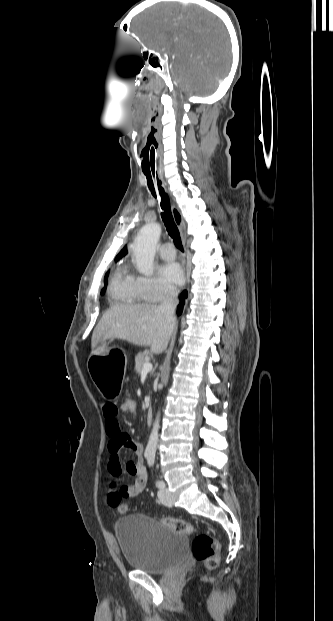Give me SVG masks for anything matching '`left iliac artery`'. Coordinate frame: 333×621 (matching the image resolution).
Masks as SVG:
<instances>
[{"mask_svg": "<svg viewBox=\"0 0 333 621\" xmlns=\"http://www.w3.org/2000/svg\"><path fill=\"white\" fill-rule=\"evenodd\" d=\"M147 463L149 467H152L155 463V456L154 455H148L147 456ZM156 487L158 488H163L165 486V483L162 480H157L155 482Z\"/></svg>", "mask_w": 333, "mask_h": 621, "instance_id": "left-iliac-artery-1", "label": "left iliac artery"}]
</instances>
